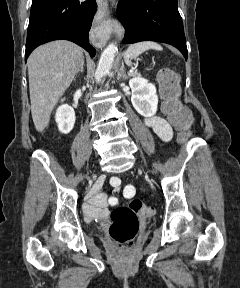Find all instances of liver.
<instances>
[{"mask_svg":"<svg viewBox=\"0 0 240 288\" xmlns=\"http://www.w3.org/2000/svg\"><path fill=\"white\" fill-rule=\"evenodd\" d=\"M83 61L82 48L66 40L41 45L29 56L31 114L38 132H43L48 126L51 112Z\"/></svg>","mask_w":240,"mask_h":288,"instance_id":"1","label":"liver"}]
</instances>
